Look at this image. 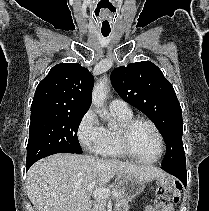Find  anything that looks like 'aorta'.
I'll return each mask as SVG.
<instances>
[{
  "mask_svg": "<svg viewBox=\"0 0 209 211\" xmlns=\"http://www.w3.org/2000/svg\"><path fill=\"white\" fill-rule=\"evenodd\" d=\"M108 92V79H101L92 92V104L97 107V113L101 118L110 119L107 110L104 108V102Z\"/></svg>",
  "mask_w": 209,
  "mask_h": 211,
  "instance_id": "obj_1",
  "label": "aorta"
}]
</instances>
